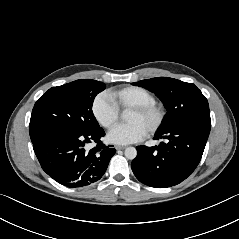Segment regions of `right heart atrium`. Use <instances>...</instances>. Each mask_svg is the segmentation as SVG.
<instances>
[{
	"instance_id": "d8ad5b80",
	"label": "right heart atrium",
	"mask_w": 239,
	"mask_h": 239,
	"mask_svg": "<svg viewBox=\"0 0 239 239\" xmlns=\"http://www.w3.org/2000/svg\"><path fill=\"white\" fill-rule=\"evenodd\" d=\"M91 112L95 120L106 129L113 127L120 116L118 107L106 93H101L94 98Z\"/></svg>"
}]
</instances>
